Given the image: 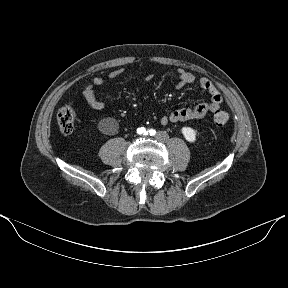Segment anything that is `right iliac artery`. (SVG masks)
<instances>
[{"mask_svg":"<svg viewBox=\"0 0 288 288\" xmlns=\"http://www.w3.org/2000/svg\"><path fill=\"white\" fill-rule=\"evenodd\" d=\"M137 133L138 134H148V132H146L144 127H140L137 129Z\"/></svg>","mask_w":288,"mask_h":288,"instance_id":"1","label":"right iliac artery"}]
</instances>
